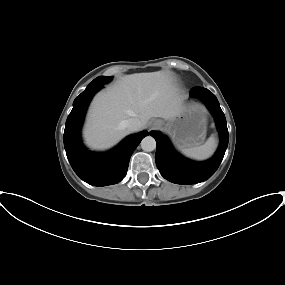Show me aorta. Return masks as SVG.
Wrapping results in <instances>:
<instances>
[{"mask_svg":"<svg viewBox=\"0 0 285 285\" xmlns=\"http://www.w3.org/2000/svg\"><path fill=\"white\" fill-rule=\"evenodd\" d=\"M141 148L146 152H151L156 148V141L152 136H147L141 141Z\"/></svg>","mask_w":285,"mask_h":285,"instance_id":"1","label":"aorta"}]
</instances>
